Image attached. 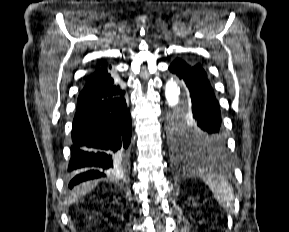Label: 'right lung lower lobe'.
<instances>
[{
	"instance_id": "obj_1",
	"label": "right lung lower lobe",
	"mask_w": 289,
	"mask_h": 232,
	"mask_svg": "<svg viewBox=\"0 0 289 232\" xmlns=\"http://www.w3.org/2000/svg\"><path fill=\"white\" fill-rule=\"evenodd\" d=\"M131 116L124 91L109 99L78 104L72 127L69 187L121 164L131 141Z\"/></svg>"
}]
</instances>
